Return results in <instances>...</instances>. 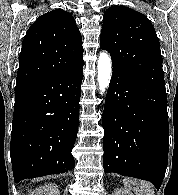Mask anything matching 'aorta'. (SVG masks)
<instances>
[{
	"label": "aorta",
	"instance_id": "obj_1",
	"mask_svg": "<svg viewBox=\"0 0 178 195\" xmlns=\"http://www.w3.org/2000/svg\"><path fill=\"white\" fill-rule=\"evenodd\" d=\"M111 58L106 52H101L98 59V85L100 93H104L110 84L111 80Z\"/></svg>",
	"mask_w": 178,
	"mask_h": 195
}]
</instances>
